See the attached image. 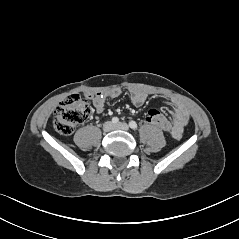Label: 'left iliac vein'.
<instances>
[{"label":"left iliac vein","instance_id":"1","mask_svg":"<svg viewBox=\"0 0 239 239\" xmlns=\"http://www.w3.org/2000/svg\"><path fill=\"white\" fill-rule=\"evenodd\" d=\"M114 128L115 129H120V130H129V126H128V124H126V123H117V124H115L114 125Z\"/></svg>","mask_w":239,"mask_h":239}]
</instances>
